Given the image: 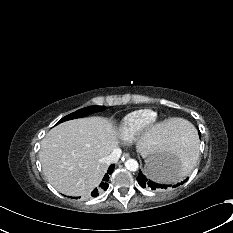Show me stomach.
I'll return each mask as SVG.
<instances>
[{
	"label": "stomach",
	"instance_id": "stomach-1",
	"mask_svg": "<svg viewBox=\"0 0 233 233\" xmlns=\"http://www.w3.org/2000/svg\"><path fill=\"white\" fill-rule=\"evenodd\" d=\"M145 163L147 174L155 181H175L179 177L180 168L173 163L171 154L162 156L154 150L145 157Z\"/></svg>",
	"mask_w": 233,
	"mask_h": 233
}]
</instances>
